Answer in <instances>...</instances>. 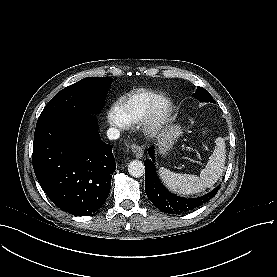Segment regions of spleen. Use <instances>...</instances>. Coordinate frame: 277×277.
Segmentation results:
<instances>
[{
	"label": "spleen",
	"instance_id": "1",
	"mask_svg": "<svg viewBox=\"0 0 277 277\" xmlns=\"http://www.w3.org/2000/svg\"><path fill=\"white\" fill-rule=\"evenodd\" d=\"M225 159V142L223 138L218 137L213 154L199 177L193 174L175 173L164 167L159 168V175L171 191L180 195L197 194L217 182L224 171Z\"/></svg>",
	"mask_w": 277,
	"mask_h": 277
}]
</instances>
